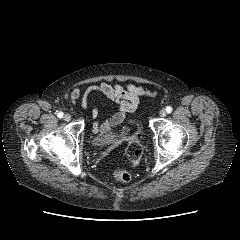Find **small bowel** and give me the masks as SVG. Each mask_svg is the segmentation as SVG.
<instances>
[{"label":"small bowel","instance_id":"obj_1","mask_svg":"<svg viewBox=\"0 0 240 240\" xmlns=\"http://www.w3.org/2000/svg\"><path fill=\"white\" fill-rule=\"evenodd\" d=\"M94 93H99L108 101L115 103L119 108V112L105 119L102 123L94 122V134H103L110 131L111 128L122 123L126 113L133 112L137 108L141 97L154 95L151 91L132 83L112 85L107 82H100L88 86L84 91H81L78 87L74 88L70 93V100L73 105L80 100L81 108L86 110L89 106L90 98ZM97 115V108L94 107L93 117L96 118Z\"/></svg>","mask_w":240,"mask_h":240}]
</instances>
